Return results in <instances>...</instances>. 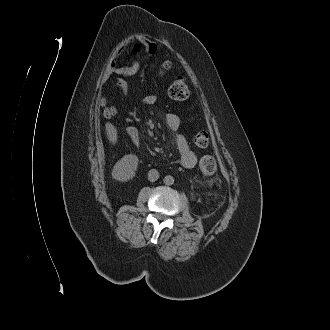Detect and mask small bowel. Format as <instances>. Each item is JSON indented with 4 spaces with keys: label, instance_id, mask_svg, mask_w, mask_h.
<instances>
[{
    "label": "small bowel",
    "instance_id": "obj_1",
    "mask_svg": "<svg viewBox=\"0 0 330 330\" xmlns=\"http://www.w3.org/2000/svg\"><path fill=\"white\" fill-rule=\"evenodd\" d=\"M128 46L132 47L135 50H138L137 44L133 40H130L128 42ZM121 51L116 50L114 51L113 55L111 56L109 66H108V72L114 73L119 76H131L134 75L139 68V65L137 62H133L130 66H117V59L120 56ZM117 85L122 88H127V82L124 79H119L117 82ZM144 102L148 105L154 103V98L152 96H148L144 99ZM166 125L167 127L174 133L175 135V143L177 146V149L180 154V161L183 167L185 168H192L195 166L197 162V157L194 154L193 151H191L188 142L184 135L178 133L179 126H180V119L175 114H167L166 116Z\"/></svg>",
    "mask_w": 330,
    "mask_h": 330
}]
</instances>
